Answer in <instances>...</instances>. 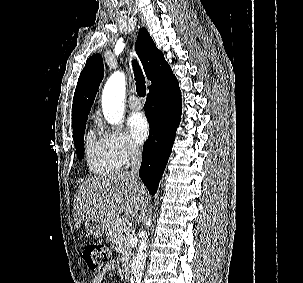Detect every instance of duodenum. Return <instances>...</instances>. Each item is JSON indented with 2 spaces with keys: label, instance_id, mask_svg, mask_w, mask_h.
Listing matches in <instances>:
<instances>
[{
  "label": "duodenum",
  "instance_id": "410a0bca",
  "mask_svg": "<svg viewBox=\"0 0 303 283\" xmlns=\"http://www.w3.org/2000/svg\"><path fill=\"white\" fill-rule=\"evenodd\" d=\"M130 265L129 263H125L122 267V272H123V275L126 279H129L130 277Z\"/></svg>",
  "mask_w": 303,
  "mask_h": 283
}]
</instances>
